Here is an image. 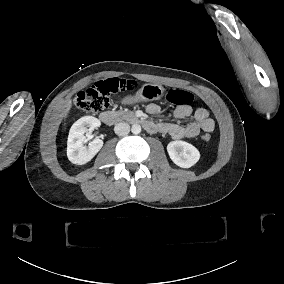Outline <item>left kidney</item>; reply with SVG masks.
<instances>
[{
    "instance_id": "obj_1",
    "label": "left kidney",
    "mask_w": 284,
    "mask_h": 284,
    "mask_svg": "<svg viewBox=\"0 0 284 284\" xmlns=\"http://www.w3.org/2000/svg\"><path fill=\"white\" fill-rule=\"evenodd\" d=\"M167 153L175 165L184 169L194 166L201 157L195 146L182 140L171 141L167 145Z\"/></svg>"
}]
</instances>
